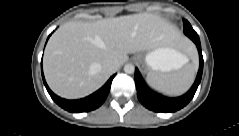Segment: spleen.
<instances>
[{"label": "spleen", "instance_id": "1", "mask_svg": "<svg viewBox=\"0 0 239 136\" xmlns=\"http://www.w3.org/2000/svg\"><path fill=\"white\" fill-rule=\"evenodd\" d=\"M187 61L188 59H186ZM194 77L195 69L193 67L183 68L170 73L151 71L147 74V83L150 87L163 94L180 95L189 89L194 81Z\"/></svg>", "mask_w": 239, "mask_h": 136}]
</instances>
